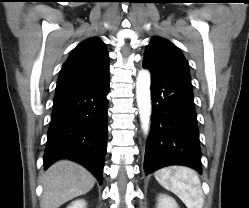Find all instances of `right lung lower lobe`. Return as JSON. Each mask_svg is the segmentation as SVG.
<instances>
[{
    "mask_svg": "<svg viewBox=\"0 0 249 208\" xmlns=\"http://www.w3.org/2000/svg\"><path fill=\"white\" fill-rule=\"evenodd\" d=\"M108 90L109 75L96 83L56 93L44 169L58 159H71L85 166L102 184L108 135Z\"/></svg>",
    "mask_w": 249,
    "mask_h": 208,
    "instance_id": "98d812e1",
    "label": "right lung lower lobe"
}]
</instances>
